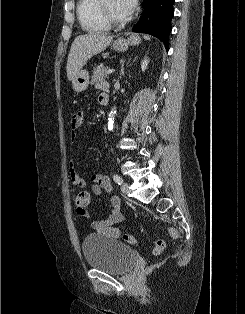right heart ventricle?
<instances>
[{"instance_id": "right-heart-ventricle-1", "label": "right heart ventricle", "mask_w": 245, "mask_h": 314, "mask_svg": "<svg viewBox=\"0 0 245 314\" xmlns=\"http://www.w3.org/2000/svg\"><path fill=\"white\" fill-rule=\"evenodd\" d=\"M97 2L98 0H78L77 17L82 28L89 33H102L109 29L98 15Z\"/></svg>"}]
</instances>
